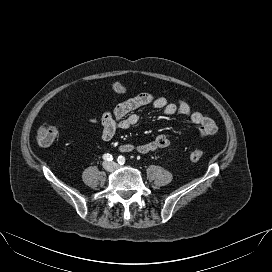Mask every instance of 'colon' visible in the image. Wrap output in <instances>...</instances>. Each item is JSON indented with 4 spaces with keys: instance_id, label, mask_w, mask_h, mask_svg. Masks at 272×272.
<instances>
[{
    "instance_id": "obj_1",
    "label": "colon",
    "mask_w": 272,
    "mask_h": 272,
    "mask_svg": "<svg viewBox=\"0 0 272 272\" xmlns=\"http://www.w3.org/2000/svg\"><path fill=\"white\" fill-rule=\"evenodd\" d=\"M111 88L116 93H125L126 87L120 82H114L111 84ZM58 134V130L53 125H43L41 126L36 133V141L40 146H49L51 145ZM204 156V152L202 150H195L190 153L189 159L191 162H198Z\"/></svg>"
}]
</instances>
